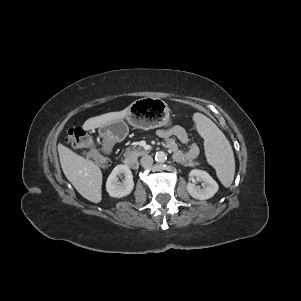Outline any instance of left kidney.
Returning a JSON list of instances; mask_svg holds the SVG:
<instances>
[{
	"label": "left kidney",
	"mask_w": 301,
	"mask_h": 301,
	"mask_svg": "<svg viewBox=\"0 0 301 301\" xmlns=\"http://www.w3.org/2000/svg\"><path fill=\"white\" fill-rule=\"evenodd\" d=\"M189 176L191 179L196 177L198 180H201L204 183L203 187L196 186L190 182L187 184V191L193 198L198 200H206L213 197L218 191L219 187L217 182L206 171L193 169L190 171Z\"/></svg>",
	"instance_id": "1"
}]
</instances>
